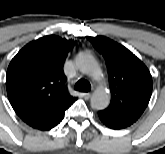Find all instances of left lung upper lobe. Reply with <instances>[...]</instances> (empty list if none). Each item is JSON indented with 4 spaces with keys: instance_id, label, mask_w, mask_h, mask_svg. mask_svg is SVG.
<instances>
[{
    "instance_id": "5c2ea615",
    "label": "left lung upper lobe",
    "mask_w": 165,
    "mask_h": 154,
    "mask_svg": "<svg viewBox=\"0 0 165 154\" xmlns=\"http://www.w3.org/2000/svg\"><path fill=\"white\" fill-rule=\"evenodd\" d=\"M87 39L104 56L109 71L111 103L101 112L132 124L141 116L152 94L148 68L130 50L107 37Z\"/></svg>"
}]
</instances>
